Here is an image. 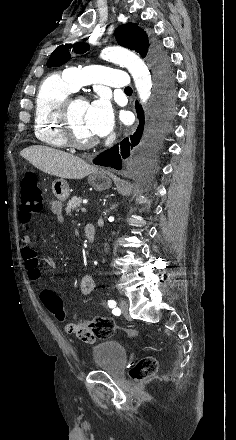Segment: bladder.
I'll return each instance as SVG.
<instances>
[{
    "label": "bladder",
    "instance_id": "bladder-1",
    "mask_svg": "<svg viewBox=\"0 0 236 440\" xmlns=\"http://www.w3.org/2000/svg\"><path fill=\"white\" fill-rule=\"evenodd\" d=\"M92 362L96 370L118 375L127 364V351L116 341H106L92 348Z\"/></svg>",
    "mask_w": 236,
    "mask_h": 440
}]
</instances>
